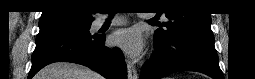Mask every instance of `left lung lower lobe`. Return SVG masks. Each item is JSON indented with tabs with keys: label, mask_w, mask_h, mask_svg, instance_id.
<instances>
[{
	"label": "left lung lower lobe",
	"mask_w": 255,
	"mask_h": 79,
	"mask_svg": "<svg viewBox=\"0 0 255 79\" xmlns=\"http://www.w3.org/2000/svg\"><path fill=\"white\" fill-rule=\"evenodd\" d=\"M155 52L141 71L140 79H161L179 71H197L223 79L214 47L213 33L185 32L167 43L154 40Z\"/></svg>",
	"instance_id": "0a47b994"
}]
</instances>
